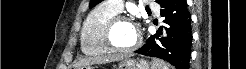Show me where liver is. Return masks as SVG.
I'll return each instance as SVG.
<instances>
[{"label":"liver","mask_w":246,"mask_h":69,"mask_svg":"<svg viewBox=\"0 0 246 69\" xmlns=\"http://www.w3.org/2000/svg\"><path fill=\"white\" fill-rule=\"evenodd\" d=\"M123 58L124 56H121V55H105V56H98V57H89V58L82 59L74 67L79 68V67L88 66L91 64H100V63L119 61Z\"/></svg>","instance_id":"1"}]
</instances>
